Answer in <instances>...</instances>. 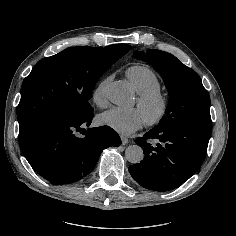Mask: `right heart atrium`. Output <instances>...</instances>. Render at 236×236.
<instances>
[{"label": "right heart atrium", "mask_w": 236, "mask_h": 236, "mask_svg": "<svg viewBox=\"0 0 236 236\" xmlns=\"http://www.w3.org/2000/svg\"><path fill=\"white\" fill-rule=\"evenodd\" d=\"M110 78L111 76H108L103 79L92 92V99L94 103L99 106H102L106 103L105 86Z\"/></svg>", "instance_id": "1"}]
</instances>
